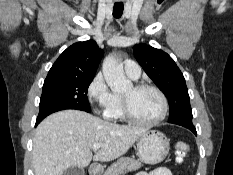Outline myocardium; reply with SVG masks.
I'll return each mask as SVG.
<instances>
[{
	"instance_id": "f54148a6",
	"label": "myocardium",
	"mask_w": 233,
	"mask_h": 175,
	"mask_svg": "<svg viewBox=\"0 0 233 175\" xmlns=\"http://www.w3.org/2000/svg\"><path fill=\"white\" fill-rule=\"evenodd\" d=\"M133 89L135 91H141V90H145V89H150V90L155 91L161 99L162 111H161V114L156 119L149 120V121L141 120L133 114L128 99H126L122 96L121 102H122V110H123L124 117L130 123L135 124V125H139V126H154V125H157L160 122H162L166 118V116L168 114V109H169L168 99H167L165 93L159 87H157L153 84H149V83L135 84L133 86Z\"/></svg>"
}]
</instances>
